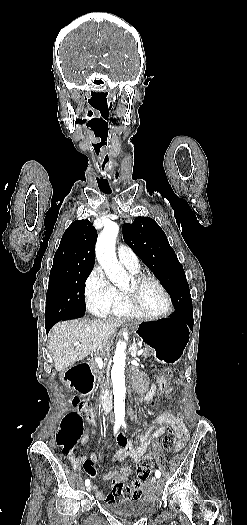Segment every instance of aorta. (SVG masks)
<instances>
[{
	"label": "aorta",
	"instance_id": "1",
	"mask_svg": "<svg viewBox=\"0 0 247 525\" xmlns=\"http://www.w3.org/2000/svg\"><path fill=\"white\" fill-rule=\"evenodd\" d=\"M118 232L119 227L114 222H110L104 227L97 239L96 257L110 281L118 287H124L128 284L129 277L126 271L120 266L115 253V243ZM125 349L126 343L124 341H119L116 345L113 366L111 369V380L114 393V413L115 419L118 422H123L125 417Z\"/></svg>",
	"mask_w": 247,
	"mask_h": 525
}]
</instances>
